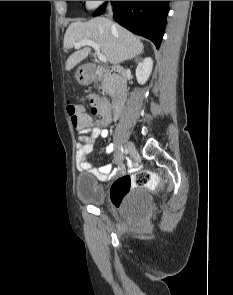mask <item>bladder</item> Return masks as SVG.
I'll use <instances>...</instances> for the list:
<instances>
[{"mask_svg": "<svg viewBox=\"0 0 233 295\" xmlns=\"http://www.w3.org/2000/svg\"><path fill=\"white\" fill-rule=\"evenodd\" d=\"M76 195L80 201L102 205L105 201V188L91 175H79L75 182ZM128 209L133 217L143 219L147 217L152 208L153 201L146 188H138L131 196Z\"/></svg>", "mask_w": 233, "mask_h": 295, "instance_id": "1", "label": "bladder"}]
</instances>
